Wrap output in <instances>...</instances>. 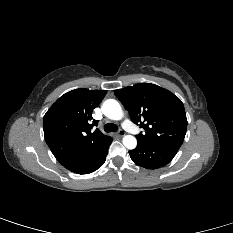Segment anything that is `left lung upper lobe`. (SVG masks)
Here are the masks:
<instances>
[{"mask_svg": "<svg viewBox=\"0 0 233 233\" xmlns=\"http://www.w3.org/2000/svg\"><path fill=\"white\" fill-rule=\"evenodd\" d=\"M114 93L131 120L145 130L136 136L138 141L182 145L187 118L183 103L173 93L150 83H139Z\"/></svg>", "mask_w": 233, "mask_h": 233, "instance_id": "1", "label": "left lung upper lobe"}]
</instances>
